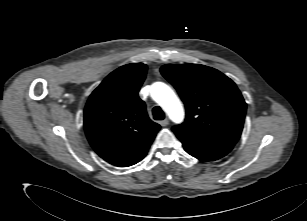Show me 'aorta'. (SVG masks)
<instances>
[{
    "label": "aorta",
    "instance_id": "762f6f07",
    "mask_svg": "<svg viewBox=\"0 0 307 221\" xmlns=\"http://www.w3.org/2000/svg\"><path fill=\"white\" fill-rule=\"evenodd\" d=\"M151 97L163 108L173 122H182L184 118L183 106L168 85L162 82L154 83L151 87Z\"/></svg>",
    "mask_w": 307,
    "mask_h": 221
}]
</instances>
